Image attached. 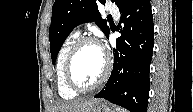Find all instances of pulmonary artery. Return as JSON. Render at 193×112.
<instances>
[{
  "label": "pulmonary artery",
  "instance_id": "obj_1",
  "mask_svg": "<svg viewBox=\"0 0 193 112\" xmlns=\"http://www.w3.org/2000/svg\"><path fill=\"white\" fill-rule=\"evenodd\" d=\"M107 10L112 14V16H114L115 18H118L119 17V11H118V8L114 5H109L107 7ZM77 33H79L80 31L77 30L76 31Z\"/></svg>",
  "mask_w": 193,
  "mask_h": 112
}]
</instances>
